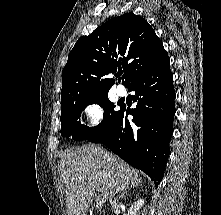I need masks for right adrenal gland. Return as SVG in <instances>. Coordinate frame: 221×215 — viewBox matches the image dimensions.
I'll return each mask as SVG.
<instances>
[{
  "instance_id": "2a0ac1e0",
  "label": "right adrenal gland",
  "mask_w": 221,
  "mask_h": 215,
  "mask_svg": "<svg viewBox=\"0 0 221 215\" xmlns=\"http://www.w3.org/2000/svg\"><path fill=\"white\" fill-rule=\"evenodd\" d=\"M118 193H119V194H118V197H119V198H123L124 195L126 194V190H120Z\"/></svg>"
}]
</instances>
